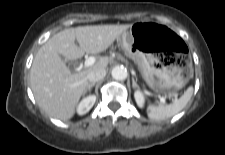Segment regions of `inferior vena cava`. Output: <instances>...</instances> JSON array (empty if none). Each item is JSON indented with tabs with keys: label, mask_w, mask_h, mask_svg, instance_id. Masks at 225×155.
Wrapping results in <instances>:
<instances>
[{
	"label": "inferior vena cava",
	"mask_w": 225,
	"mask_h": 155,
	"mask_svg": "<svg viewBox=\"0 0 225 155\" xmlns=\"http://www.w3.org/2000/svg\"><path fill=\"white\" fill-rule=\"evenodd\" d=\"M105 76L106 70L104 68H95L88 73L87 78L90 83H95L102 80Z\"/></svg>",
	"instance_id": "1"
}]
</instances>
